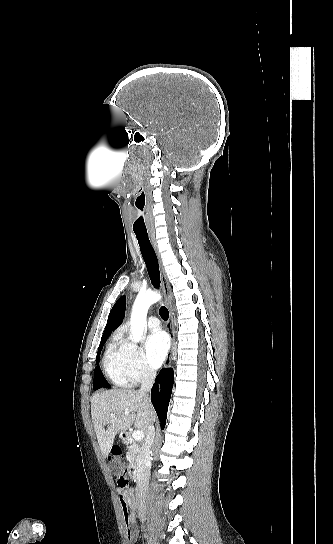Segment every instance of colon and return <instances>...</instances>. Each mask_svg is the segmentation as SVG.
<instances>
[{"label":"colon","mask_w":333,"mask_h":544,"mask_svg":"<svg viewBox=\"0 0 333 544\" xmlns=\"http://www.w3.org/2000/svg\"><path fill=\"white\" fill-rule=\"evenodd\" d=\"M122 458V450L119 446H113L110 454V459H121ZM115 482L117 486L121 489H124L128 487L129 481L127 477L124 474L117 475L115 477Z\"/></svg>","instance_id":"colon-1"}]
</instances>
